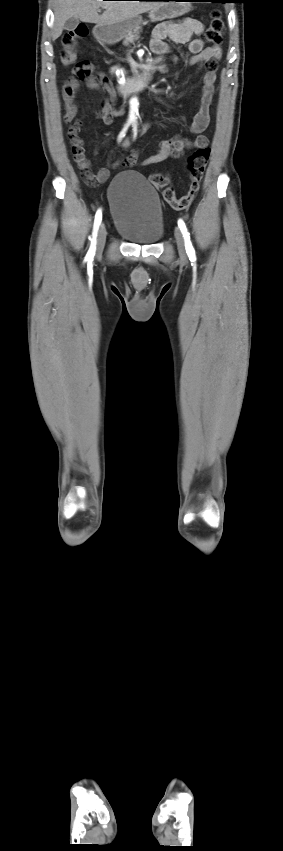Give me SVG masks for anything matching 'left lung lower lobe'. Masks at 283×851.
Returning <instances> with one entry per match:
<instances>
[{
    "mask_svg": "<svg viewBox=\"0 0 283 851\" xmlns=\"http://www.w3.org/2000/svg\"><path fill=\"white\" fill-rule=\"evenodd\" d=\"M159 1H164V0H159ZM199 1H207V2H220V0H199Z\"/></svg>",
    "mask_w": 283,
    "mask_h": 851,
    "instance_id": "1",
    "label": "left lung lower lobe"
}]
</instances>
